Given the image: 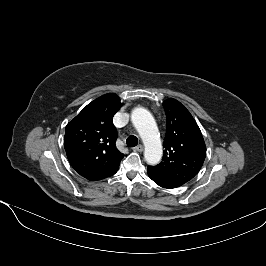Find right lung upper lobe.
<instances>
[{"label":"right lung upper lobe","instance_id":"cb5924a9","mask_svg":"<svg viewBox=\"0 0 266 266\" xmlns=\"http://www.w3.org/2000/svg\"><path fill=\"white\" fill-rule=\"evenodd\" d=\"M123 104L114 93L105 94L70 121L64 147L71 166L82 177L95 181L114 175L124 154L115 145L113 115Z\"/></svg>","mask_w":266,"mask_h":266}]
</instances>
